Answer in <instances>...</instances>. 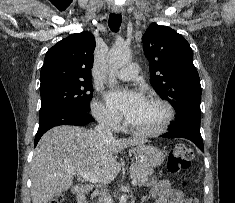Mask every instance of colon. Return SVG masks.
I'll use <instances>...</instances> for the list:
<instances>
[{
  "label": "colon",
  "mask_w": 235,
  "mask_h": 203,
  "mask_svg": "<svg viewBox=\"0 0 235 203\" xmlns=\"http://www.w3.org/2000/svg\"><path fill=\"white\" fill-rule=\"evenodd\" d=\"M194 151L185 146L178 145L174 147L167 158V168L170 173L173 174H183L186 170L189 169L192 160L194 159ZM49 203H64V197L62 195L57 196L52 199ZM184 203H199L197 198L194 195L188 196Z\"/></svg>",
  "instance_id": "1"
}]
</instances>
